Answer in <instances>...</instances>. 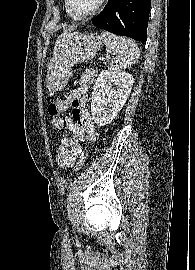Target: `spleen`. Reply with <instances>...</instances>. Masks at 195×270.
I'll use <instances>...</instances> for the list:
<instances>
[{
  "label": "spleen",
  "mask_w": 195,
  "mask_h": 270,
  "mask_svg": "<svg viewBox=\"0 0 195 270\" xmlns=\"http://www.w3.org/2000/svg\"><path fill=\"white\" fill-rule=\"evenodd\" d=\"M101 36L105 41L107 53L112 55L111 69L120 71L138 61L140 50L132 39L120 37L107 31H102Z\"/></svg>",
  "instance_id": "obj_1"
}]
</instances>
